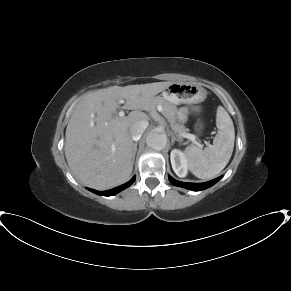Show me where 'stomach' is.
<instances>
[{
    "mask_svg": "<svg viewBox=\"0 0 291 291\" xmlns=\"http://www.w3.org/2000/svg\"><path fill=\"white\" fill-rule=\"evenodd\" d=\"M163 97L174 104H194L205 100L206 90L192 83H172L163 90Z\"/></svg>",
    "mask_w": 291,
    "mask_h": 291,
    "instance_id": "1",
    "label": "stomach"
}]
</instances>
